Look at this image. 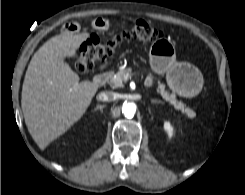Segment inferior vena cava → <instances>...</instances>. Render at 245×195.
<instances>
[{"mask_svg":"<svg viewBox=\"0 0 245 195\" xmlns=\"http://www.w3.org/2000/svg\"><path fill=\"white\" fill-rule=\"evenodd\" d=\"M117 98V94L112 91L101 92L97 95L99 101H114Z\"/></svg>","mask_w":245,"mask_h":195,"instance_id":"602c4592","label":"inferior vena cava"}]
</instances>
